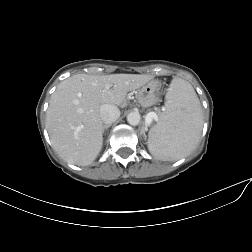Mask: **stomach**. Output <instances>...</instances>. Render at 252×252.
<instances>
[{
	"mask_svg": "<svg viewBox=\"0 0 252 252\" xmlns=\"http://www.w3.org/2000/svg\"><path fill=\"white\" fill-rule=\"evenodd\" d=\"M161 95V84L152 80L139 88L137 92V100L142 107H150L158 102Z\"/></svg>",
	"mask_w": 252,
	"mask_h": 252,
	"instance_id": "stomach-1",
	"label": "stomach"
}]
</instances>
